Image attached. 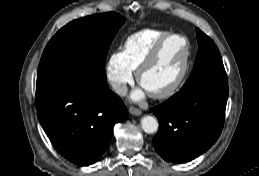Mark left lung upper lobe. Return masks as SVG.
Masks as SVG:
<instances>
[{"label":"left lung upper lobe","instance_id":"obj_1","mask_svg":"<svg viewBox=\"0 0 259 176\" xmlns=\"http://www.w3.org/2000/svg\"><path fill=\"white\" fill-rule=\"evenodd\" d=\"M196 31L199 50L192 73L181 90L204 80L228 82L221 55L213 40L201 30L196 29Z\"/></svg>","mask_w":259,"mask_h":176}]
</instances>
